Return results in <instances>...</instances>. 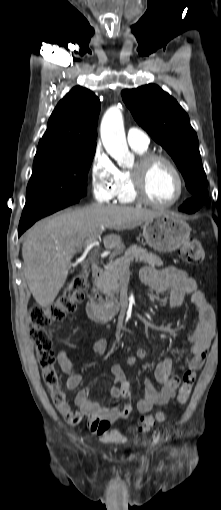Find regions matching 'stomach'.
I'll return each mask as SVG.
<instances>
[{
	"label": "stomach",
	"mask_w": 221,
	"mask_h": 510,
	"mask_svg": "<svg viewBox=\"0 0 221 510\" xmlns=\"http://www.w3.org/2000/svg\"><path fill=\"white\" fill-rule=\"evenodd\" d=\"M146 243L161 253L179 249L190 236L189 225L179 216L161 213L145 221L142 226Z\"/></svg>",
	"instance_id": "stomach-1"
}]
</instances>
